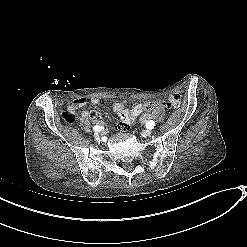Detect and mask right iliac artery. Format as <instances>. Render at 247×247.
I'll return each instance as SVG.
<instances>
[{
  "instance_id": "82829eb1",
  "label": "right iliac artery",
  "mask_w": 247,
  "mask_h": 247,
  "mask_svg": "<svg viewBox=\"0 0 247 247\" xmlns=\"http://www.w3.org/2000/svg\"><path fill=\"white\" fill-rule=\"evenodd\" d=\"M93 129H94L95 131H98V132H99V131H101V130L103 129V127L97 126V125H96V126L93 127Z\"/></svg>"
}]
</instances>
